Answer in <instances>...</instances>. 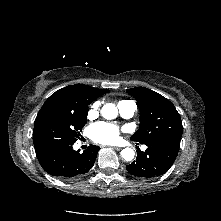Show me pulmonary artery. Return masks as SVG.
<instances>
[{
  "mask_svg": "<svg viewBox=\"0 0 221 221\" xmlns=\"http://www.w3.org/2000/svg\"><path fill=\"white\" fill-rule=\"evenodd\" d=\"M118 109L124 118H131L136 111V104L133 101H122L118 103ZM142 149L145 150L146 147L143 146Z\"/></svg>",
  "mask_w": 221,
  "mask_h": 221,
  "instance_id": "pulmonary-artery-1",
  "label": "pulmonary artery"
}]
</instances>
